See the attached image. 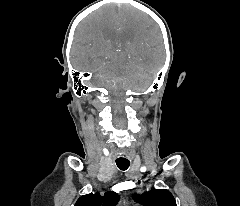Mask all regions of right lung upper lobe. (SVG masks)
Here are the masks:
<instances>
[{"label": "right lung upper lobe", "instance_id": "right-lung-upper-lobe-1", "mask_svg": "<svg viewBox=\"0 0 240 206\" xmlns=\"http://www.w3.org/2000/svg\"><path fill=\"white\" fill-rule=\"evenodd\" d=\"M119 196L115 192H106L103 196L99 193H90L81 196L74 206H115Z\"/></svg>", "mask_w": 240, "mask_h": 206}]
</instances>
